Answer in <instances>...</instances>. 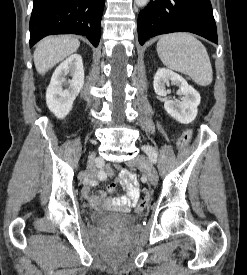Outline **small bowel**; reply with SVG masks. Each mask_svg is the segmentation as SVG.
Listing matches in <instances>:
<instances>
[{
	"mask_svg": "<svg viewBox=\"0 0 247 275\" xmlns=\"http://www.w3.org/2000/svg\"><path fill=\"white\" fill-rule=\"evenodd\" d=\"M107 174L111 176L113 170L107 168ZM120 183L125 189V194L119 197H115L110 201L111 206L119 208L122 211H129L136 205L140 196V190L136 176L126 169L119 168ZM97 182H90L83 190L86 199L94 206H99L104 202V195L92 190ZM115 184L110 186V191H114Z\"/></svg>",
	"mask_w": 247,
	"mask_h": 275,
	"instance_id": "obj_1",
	"label": "small bowel"
}]
</instances>
